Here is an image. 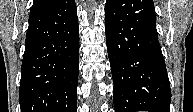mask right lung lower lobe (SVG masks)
Returning <instances> with one entry per match:
<instances>
[{"label":"right lung lower lobe","instance_id":"1","mask_svg":"<svg viewBox=\"0 0 193 112\" xmlns=\"http://www.w3.org/2000/svg\"><path fill=\"white\" fill-rule=\"evenodd\" d=\"M79 33L74 0L30 14L21 67V112H76Z\"/></svg>","mask_w":193,"mask_h":112}]
</instances>
